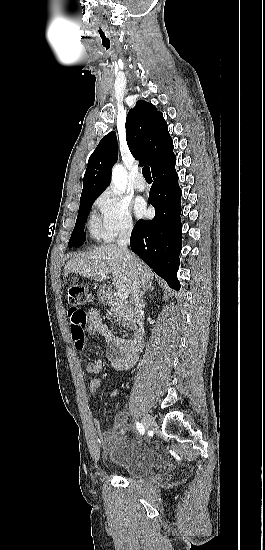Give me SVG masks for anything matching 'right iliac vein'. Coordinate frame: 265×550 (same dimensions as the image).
<instances>
[{
  "mask_svg": "<svg viewBox=\"0 0 265 550\" xmlns=\"http://www.w3.org/2000/svg\"><path fill=\"white\" fill-rule=\"evenodd\" d=\"M142 424L145 430H148L153 425V419L149 414L143 417Z\"/></svg>",
  "mask_w": 265,
  "mask_h": 550,
  "instance_id": "right-iliac-vein-1",
  "label": "right iliac vein"
}]
</instances>
